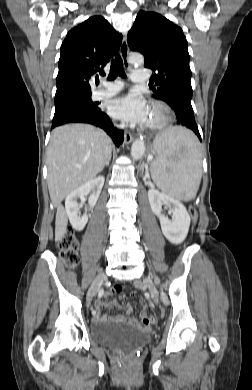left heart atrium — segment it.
<instances>
[{
	"label": "left heart atrium",
	"mask_w": 252,
	"mask_h": 390,
	"mask_svg": "<svg viewBox=\"0 0 252 390\" xmlns=\"http://www.w3.org/2000/svg\"><path fill=\"white\" fill-rule=\"evenodd\" d=\"M149 111L146 101L133 93L117 97L109 105L113 117L134 125L147 123Z\"/></svg>",
	"instance_id": "1"
}]
</instances>
